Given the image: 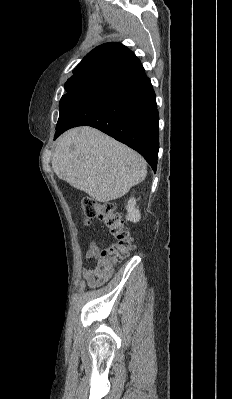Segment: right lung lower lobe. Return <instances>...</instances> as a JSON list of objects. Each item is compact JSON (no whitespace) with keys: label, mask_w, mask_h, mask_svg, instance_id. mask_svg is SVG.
<instances>
[{"label":"right lung lower lobe","mask_w":232,"mask_h":399,"mask_svg":"<svg viewBox=\"0 0 232 399\" xmlns=\"http://www.w3.org/2000/svg\"><path fill=\"white\" fill-rule=\"evenodd\" d=\"M155 92L141 63L101 81L61 109L56 139L89 125L139 152L155 171L159 150Z\"/></svg>","instance_id":"right-lung-lower-lobe-1"}]
</instances>
